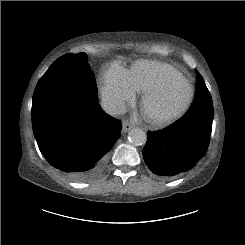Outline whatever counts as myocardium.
Masks as SVG:
<instances>
[{
    "label": "myocardium",
    "mask_w": 245,
    "mask_h": 245,
    "mask_svg": "<svg viewBox=\"0 0 245 245\" xmlns=\"http://www.w3.org/2000/svg\"><path fill=\"white\" fill-rule=\"evenodd\" d=\"M177 77L183 78L187 82L189 87L188 96L186 97L183 104L176 110H173L169 113H162V114L147 113L146 108L149 102L152 99L156 98L158 95H160ZM194 96H195V89L190 79L187 76H185L183 73L176 71L170 77L165 79L163 82L145 90L143 92V96L140 102V107L144 113L145 119L149 123L157 126L165 125L175 121L176 119L180 118L184 113H186V111L189 109V107L191 106L194 100Z\"/></svg>",
    "instance_id": "f54148a6"
}]
</instances>
